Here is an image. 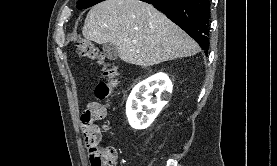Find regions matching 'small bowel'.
<instances>
[{"mask_svg": "<svg viewBox=\"0 0 277 166\" xmlns=\"http://www.w3.org/2000/svg\"><path fill=\"white\" fill-rule=\"evenodd\" d=\"M87 111H89L91 113L92 122L94 124H95V121L100 120L101 118H103L106 115L105 108L97 102H90L88 104V107L86 108V110L83 113H86ZM89 151H90V149H89ZM90 156H91V151H90Z\"/></svg>", "mask_w": 277, "mask_h": 166, "instance_id": "1", "label": "small bowel"}]
</instances>
